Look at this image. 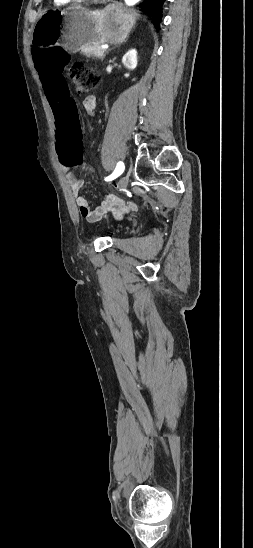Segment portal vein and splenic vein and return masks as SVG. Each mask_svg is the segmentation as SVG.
I'll return each instance as SVG.
<instances>
[{
  "label": "portal vein and splenic vein",
  "mask_w": 253,
  "mask_h": 548,
  "mask_svg": "<svg viewBox=\"0 0 253 548\" xmlns=\"http://www.w3.org/2000/svg\"><path fill=\"white\" fill-rule=\"evenodd\" d=\"M101 49L105 50L106 48H105V47H101Z\"/></svg>",
  "instance_id": "1"
}]
</instances>
